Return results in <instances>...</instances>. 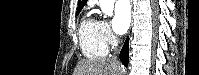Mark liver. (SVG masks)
Wrapping results in <instances>:
<instances>
[{
  "label": "liver",
  "mask_w": 199,
  "mask_h": 75,
  "mask_svg": "<svg viewBox=\"0 0 199 75\" xmlns=\"http://www.w3.org/2000/svg\"><path fill=\"white\" fill-rule=\"evenodd\" d=\"M122 67L114 58L80 61L74 75H121Z\"/></svg>",
  "instance_id": "6515ba94"
}]
</instances>
